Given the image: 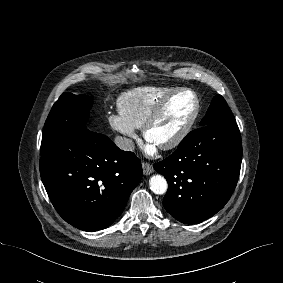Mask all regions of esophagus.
<instances>
[{
    "label": "esophagus",
    "mask_w": 283,
    "mask_h": 283,
    "mask_svg": "<svg viewBox=\"0 0 283 283\" xmlns=\"http://www.w3.org/2000/svg\"><path fill=\"white\" fill-rule=\"evenodd\" d=\"M142 168L145 175H150L154 171L153 166L147 162H142Z\"/></svg>",
    "instance_id": "esophagus-1"
}]
</instances>
